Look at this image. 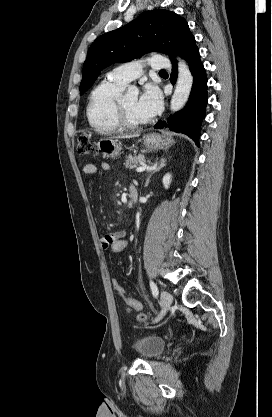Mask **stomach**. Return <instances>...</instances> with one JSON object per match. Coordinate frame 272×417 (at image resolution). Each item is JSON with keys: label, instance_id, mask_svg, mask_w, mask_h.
<instances>
[{"label": "stomach", "instance_id": "0dacf381", "mask_svg": "<svg viewBox=\"0 0 272 417\" xmlns=\"http://www.w3.org/2000/svg\"><path fill=\"white\" fill-rule=\"evenodd\" d=\"M144 144L147 149H166L173 144V139L167 135L148 134L144 138ZM97 147L103 152V155L110 159H115L119 156L121 145L114 139L102 138L98 141Z\"/></svg>", "mask_w": 272, "mask_h": 417}]
</instances>
